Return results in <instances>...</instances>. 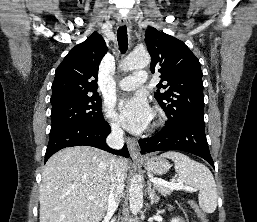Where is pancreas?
Here are the masks:
<instances>
[{
  "mask_svg": "<svg viewBox=\"0 0 257 222\" xmlns=\"http://www.w3.org/2000/svg\"><path fill=\"white\" fill-rule=\"evenodd\" d=\"M155 188L164 196L170 195L171 192L173 191L172 189H170L168 187H165L163 185H158V184H155Z\"/></svg>",
  "mask_w": 257,
  "mask_h": 222,
  "instance_id": "pancreas-1",
  "label": "pancreas"
}]
</instances>
